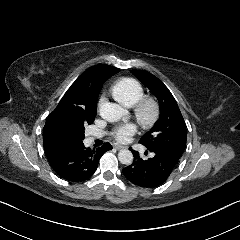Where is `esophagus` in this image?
Masks as SVG:
<instances>
[{"label": "esophagus", "mask_w": 240, "mask_h": 240, "mask_svg": "<svg viewBox=\"0 0 240 240\" xmlns=\"http://www.w3.org/2000/svg\"><path fill=\"white\" fill-rule=\"evenodd\" d=\"M115 148H116L117 150H121V149H127V146L115 145Z\"/></svg>", "instance_id": "esophagus-1"}]
</instances>
